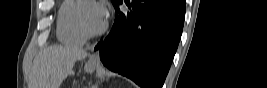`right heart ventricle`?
I'll list each match as a JSON object with an SVG mask.
<instances>
[{"mask_svg": "<svg viewBox=\"0 0 267 88\" xmlns=\"http://www.w3.org/2000/svg\"><path fill=\"white\" fill-rule=\"evenodd\" d=\"M78 7V1L68 0L63 2L59 11L57 35L66 45L81 46L86 40L77 21Z\"/></svg>", "mask_w": 267, "mask_h": 88, "instance_id": "right-heart-ventricle-1", "label": "right heart ventricle"}]
</instances>
